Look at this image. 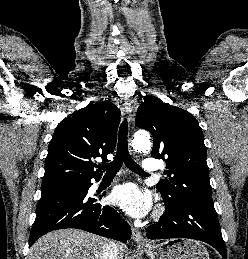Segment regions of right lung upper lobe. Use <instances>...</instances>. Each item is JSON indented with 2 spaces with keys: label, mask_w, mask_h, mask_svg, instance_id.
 <instances>
[{
  "label": "right lung upper lobe",
  "mask_w": 248,
  "mask_h": 259,
  "mask_svg": "<svg viewBox=\"0 0 248 259\" xmlns=\"http://www.w3.org/2000/svg\"><path fill=\"white\" fill-rule=\"evenodd\" d=\"M120 123L119 109L109 101L89 104L62 120L45 159L42 185L100 178L94 159L112 153Z\"/></svg>",
  "instance_id": "cb5924a9"
}]
</instances>
